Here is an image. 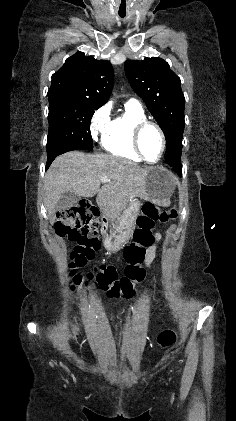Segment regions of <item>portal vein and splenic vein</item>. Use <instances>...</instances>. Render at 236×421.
Segmentation results:
<instances>
[{"label": "portal vein and splenic vein", "instance_id": "18ae733b", "mask_svg": "<svg viewBox=\"0 0 236 421\" xmlns=\"http://www.w3.org/2000/svg\"><path fill=\"white\" fill-rule=\"evenodd\" d=\"M100 180L101 182H109L110 178L108 176H101Z\"/></svg>", "mask_w": 236, "mask_h": 421}]
</instances>
